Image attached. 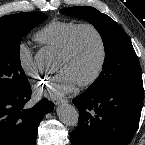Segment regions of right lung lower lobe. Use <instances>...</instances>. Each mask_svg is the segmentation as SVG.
I'll use <instances>...</instances> for the list:
<instances>
[{
	"instance_id": "98d812e1",
	"label": "right lung lower lobe",
	"mask_w": 145,
	"mask_h": 145,
	"mask_svg": "<svg viewBox=\"0 0 145 145\" xmlns=\"http://www.w3.org/2000/svg\"><path fill=\"white\" fill-rule=\"evenodd\" d=\"M30 98V84L19 92L0 93V145H35L38 125L53 106L43 99L25 108Z\"/></svg>"
}]
</instances>
